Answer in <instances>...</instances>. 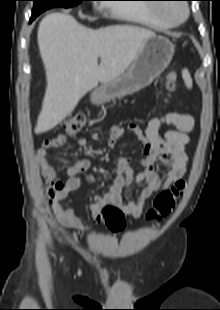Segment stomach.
I'll return each mask as SVG.
<instances>
[{
    "label": "stomach",
    "mask_w": 220,
    "mask_h": 310,
    "mask_svg": "<svg viewBox=\"0 0 220 310\" xmlns=\"http://www.w3.org/2000/svg\"><path fill=\"white\" fill-rule=\"evenodd\" d=\"M174 45L164 36L148 38L141 46L129 69L119 77L102 83L91 93L95 104L132 95L147 87L169 65Z\"/></svg>",
    "instance_id": "obj_1"
}]
</instances>
